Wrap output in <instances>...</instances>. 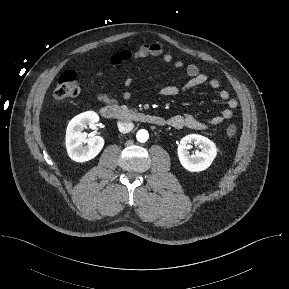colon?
I'll return each instance as SVG.
<instances>
[{"instance_id": "obj_1", "label": "colon", "mask_w": 289, "mask_h": 289, "mask_svg": "<svg viewBox=\"0 0 289 289\" xmlns=\"http://www.w3.org/2000/svg\"><path fill=\"white\" fill-rule=\"evenodd\" d=\"M79 92L80 86L75 72L72 70L64 71L58 79L54 90V97L61 100L68 99L77 96ZM236 133L237 128L235 125L231 124L226 128V134L228 137H234Z\"/></svg>"}]
</instances>
